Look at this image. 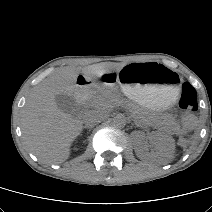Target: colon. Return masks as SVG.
Here are the masks:
<instances>
[{
    "label": "colon",
    "mask_w": 212,
    "mask_h": 212,
    "mask_svg": "<svg viewBox=\"0 0 212 212\" xmlns=\"http://www.w3.org/2000/svg\"><path fill=\"white\" fill-rule=\"evenodd\" d=\"M178 104L184 112V124L188 127L193 126L196 123L198 96L195 88L191 84L184 83L182 85Z\"/></svg>",
    "instance_id": "1"
}]
</instances>
